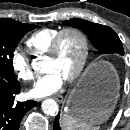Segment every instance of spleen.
I'll list each match as a JSON object with an SVG mask.
<instances>
[{"label": "spleen", "mask_w": 130, "mask_h": 130, "mask_svg": "<svg viewBox=\"0 0 130 130\" xmlns=\"http://www.w3.org/2000/svg\"><path fill=\"white\" fill-rule=\"evenodd\" d=\"M96 125H89L85 122L79 121L74 117L64 114L62 117V130H98Z\"/></svg>", "instance_id": "3e777b00"}]
</instances>
